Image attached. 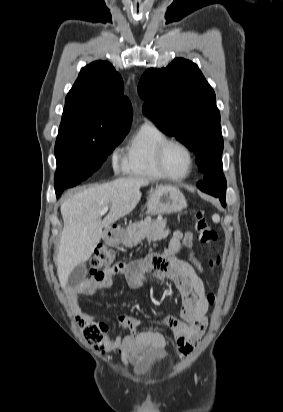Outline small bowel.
Returning <instances> with one entry per match:
<instances>
[{
	"label": "small bowel",
	"mask_w": 283,
	"mask_h": 412,
	"mask_svg": "<svg viewBox=\"0 0 283 412\" xmlns=\"http://www.w3.org/2000/svg\"><path fill=\"white\" fill-rule=\"evenodd\" d=\"M174 236L180 240L181 247L186 250L187 259H180L176 253H172L170 245L166 253L172 254L168 257L166 266L151 263L152 259L159 256L157 254L148 256L146 262L149 269L156 270V279L171 281L180 292L182 296L181 319L164 318L150 320L149 323L168 327L173 332L180 355H186L198 343L207 327L209 304L205 296L203 281L199 275L202 267L195 254L194 235L188 231L184 234L177 232ZM144 269L148 268H141L139 263L125 264L115 274L101 279H88L81 286L71 290V297L81 317L90 320L95 318L91 312L82 309L78 300L79 296L91 298L97 291L108 289L115 276L124 277L132 289H141L146 283ZM117 322L120 333L114 338L106 336L105 346L109 351H117L122 361L141 367L151 356L164 353L166 340L161 333L150 330L137 333L138 327L142 325L141 319L129 314H120Z\"/></svg>",
	"instance_id": "obj_1"
}]
</instances>
